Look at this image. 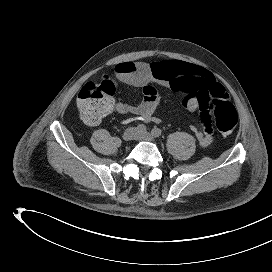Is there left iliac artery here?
<instances>
[{
    "label": "left iliac artery",
    "instance_id": "44dca946",
    "mask_svg": "<svg viewBox=\"0 0 272 272\" xmlns=\"http://www.w3.org/2000/svg\"><path fill=\"white\" fill-rule=\"evenodd\" d=\"M151 133L154 137H160L162 134V130L155 127L152 129Z\"/></svg>",
    "mask_w": 272,
    "mask_h": 272
}]
</instances>
